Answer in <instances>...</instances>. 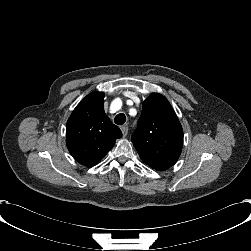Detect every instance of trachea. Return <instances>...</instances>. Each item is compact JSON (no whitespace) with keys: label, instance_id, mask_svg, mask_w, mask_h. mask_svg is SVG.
I'll use <instances>...</instances> for the list:
<instances>
[{"label":"trachea","instance_id":"1","mask_svg":"<svg viewBox=\"0 0 251 251\" xmlns=\"http://www.w3.org/2000/svg\"><path fill=\"white\" fill-rule=\"evenodd\" d=\"M125 121H126V116L123 113H120V114L116 115V117L114 118V122L117 125H122V124L125 123Z\"/></svg>","mask_w":251,"mask_h":251}]
</instances>
